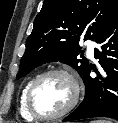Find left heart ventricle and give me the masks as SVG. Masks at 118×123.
<instances>
[{
    "label": "left heart ventricle",
    "mask_w": 118,
    "mask_h": 123,
    "mask_svg": "<svg viewBox=\"0 0 118 123\" xmlns=\"http://www.w3.org/2000/svg\"><path fill=\"white\" fill-rule=\"evenodd\" d=\"M73 88L63 75H52L42 81L34 93V106L42 115H54L70 102Z\"/></svg>",
    "instance_id": "left-heart-ventricle-1"
}]
</instances>
